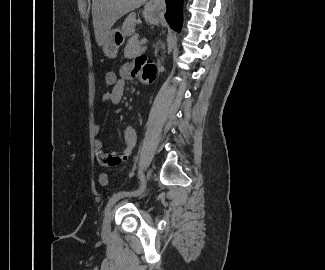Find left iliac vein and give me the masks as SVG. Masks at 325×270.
<instances>
[{"label": "left iliac vein", "instance_id": "1", "mask_svg": "<svg viewBox=\"0 0 325 270\" xmlns=\"http://www.w3.org/2000/svg\"><path fill=\"white\" fill-rule=\"evenodd\" d=\"M150 175H151V170H148L145 178V184L149 180ZM113 212H114V206L112 205L104 217L103 226H102V233L104 235H109L111 232V219L113 216Z\"/></svg>", "mask_w": 325, "mask_h": 270}]
</instances>
